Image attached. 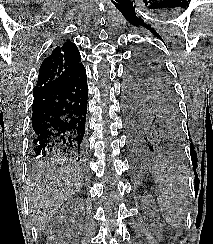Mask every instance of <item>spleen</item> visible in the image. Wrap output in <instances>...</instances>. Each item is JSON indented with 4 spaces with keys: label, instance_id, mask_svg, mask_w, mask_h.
<instances>
[{
    "label": "spleen",
    "instance_id": "spleen-1",
    "mask_svg": "<svg viewBox=\"0 0 213 244\" xmlns=\"http://www.w3.org/2000/svg\"><path fill=\"white\" fill-rule=\"evenodd\" d=\"M157 185L158 204L164 220L174 228L181 225L186 216L189 195L188 178L173 162L160 160L154 172Z\"/></svg>",
    "mask_w": 213,
    "mask_h": 244
}]
</instances>
